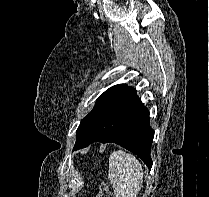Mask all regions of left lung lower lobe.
<instances>
[{
	"instance_id": "left-lung-lower-lobe-1",
	"label": "left lung lower lobe",
	"mask_w": 209,
	"mask_h": 197,
	"mask_svg": "<svg viewBox=\"0 0 209 197\" xmlns=\"http://www.w3.org/2000/svg\"><path fill=\"white\" fill-rule=\"evenodd\" d=\"M154 130L149 127V112L130 88L114 100L75 143L78 150L94 142L116 143L133 152L152 167L150 148Z\"/></svg>"
}]
</instances>
